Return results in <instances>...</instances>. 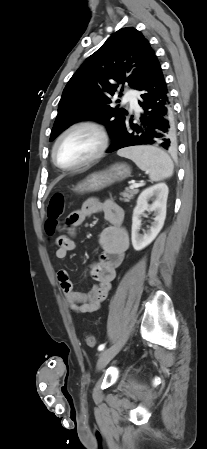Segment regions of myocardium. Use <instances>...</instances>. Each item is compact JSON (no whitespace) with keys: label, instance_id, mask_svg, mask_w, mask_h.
Listing matches in <instances>:
<instances>
[{"label":"myocardium","instance_id":"f54148a6","mask_svg":"<svg viewBox=\"0 0 207 449\" xmlns=\"http://www.w3.org/2000/svg\"><path fill=\"white\" fill-rule=\"evenodd\" d=\"M77 129H88V130L93 131L98 137V141H99L98 148L90 157H88L78 163H75V164H72L69 166H63V165L59 164V162L57 161V158H56L57 147L64 137H66L69 133H71L72 131H75ZM108 146H109V134L105 127H103L102 125H100L96 122H92V121H79V122H75V123L71 124L70 126H68L57 137V139L55 140V143L53 145V148H52V153H51L52 160H53L54 164L62 170H74V169L89 165V164L97 161L98 159H100L106 152Z\"/></svg>","mask_w":207,"mask_h":449}]
</instances>
